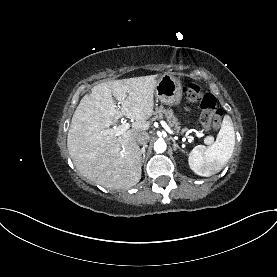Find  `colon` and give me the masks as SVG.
<instances>
[{"label": "colon", "instance_id": "colon-1", "mask_svg": "<svg viewBox=\"0 0 277 277\" xmlns=\"http://www.w3.org/2000/svg\"><path fill=\"white\" fill-rule=\"evenodd\" d=\"M183 94L187 100L199 105L202 110L200 121L206 131L220 126L223 113L212 94L204 93L202 87L196 82L186 84L183 87Z\"/></svg>", "mask_w": 277, "mask_h": 277}]
</instances>
